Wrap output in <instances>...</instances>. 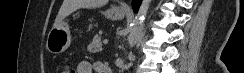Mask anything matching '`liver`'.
Masks as SVG:
<instances>
[{
    "mask_svg": "<svg viewBox=\"0 0 244 73\" xmlns=\"http://www.w3.org/2000/svg\"><path fill=\"white\" fill-rule=\"evenodd\" d=\"M107 0H64L58 15L55 19L53 27L59 25L65 17L81 8H97L105 5Z\"/></svg>",
    "mask_w": 244,
    "mask_h": 73,
    "instance_id": "liver-1",
    "label": "liver"
}]
</instances>
